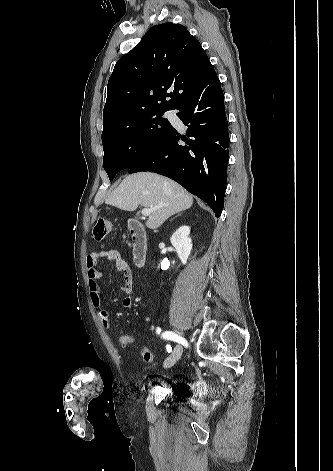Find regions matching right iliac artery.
Masks as SVG:
<instances>
[{"instance_id":"obj_1","label":"right iliac artery","mask_w":333,"mask_h":471,"mask_svg":"<svg viewBox=\"0 0 333 471\" xmlns=\"http://www.w3.org/2000/svg\"><path fill=\"white\" fill-rule=\"evenodd\" d=\"M162 337H163L164 339H168V340H172V341L178 342V343H180V344H182V345H184V346H186V347L188 346L187 341H186L183 337H181V336L175 334V333L172 332V331H165V332L162 334Z\"/></svg>"}]
</instances>
